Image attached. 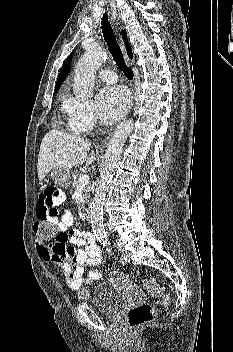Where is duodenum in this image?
I'll return each mask as SVG.
<instances>
[{"label": "duodenum", "mask_w": 233, "mask_h": 352, "mask_svg": "<svg viewBox=\"0 0 233 352\" xmlns=\"http://www.w3.org/2000/svg\"><path fill=\"white\" fill-rule=\"evenodd\" d=\"M84 217L85 219L90 222L91 221V211L89 208H85L84 210Z\"/></svg>", "instance_id": "duodenum-1"}]
</instances>
